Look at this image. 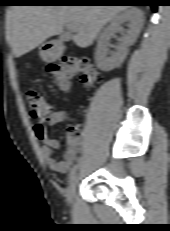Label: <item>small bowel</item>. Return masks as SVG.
I'll return each instance as SVG.
<instances>
[{
	"mask_svg": "<svg viewBox=\"0 0 170 231\" xmlns=\"http://www.w3.org/2000/svg\"><path fill=\"white\" fill-rule=\"evenodd\" d=\"M72 118L68 113L63 111H54L50 115L40 118L39 122L34 125L33 130L36 137L42 142L41 154L48 168L58 174H65L73 168L78 152L83 147L82 139L69 144L63 155V160L58 161L52 155V150L58 148L59 141L50 137L46 125L55 126L61 123L70 122Z\"/></svg>",
	"mask_w": 170,
	"mask_h": 231,
	"instance_id": "obj_1",
	"label": "small bowel"
}]
</instances>
